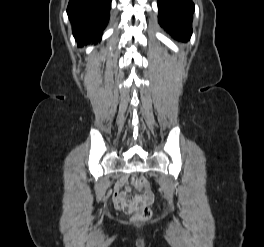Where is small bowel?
<instances>
[{
    "instance_id": "c3829d8e",
    "label": "small bowel",
    "mask_w": 264,
    "mask_h": 247,
    "mask_svg": "<svg viewBox=\"0 0 264 247\" xmlns=\"http://www.w3.org/2000/svg\"><path fill=\"white\" fill-rule=\"evenodd\" d=\"M129 177H122L113 188V199L116 205L119 207V201L122 198L127 197L131 193V188L129 187Z\"/></svg>"
}]
</instances>
